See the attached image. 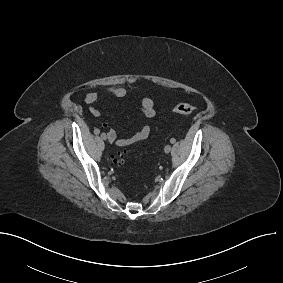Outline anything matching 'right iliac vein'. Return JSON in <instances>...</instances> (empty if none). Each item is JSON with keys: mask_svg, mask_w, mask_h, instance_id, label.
Listing matches in <instances>:
<instances>
[{"mask_svg": "<svg viewBox=\"0 0 283 283\" xmlns=\"http://www.w3.org/2000/svg\"><path fill=\"white\" fill-rule=\"evenodd\" d=\"M101 138H102L103 140H106V139H107L106 134H105V133H102V134H101Z\"/></svg>", "mask_w": 283, "mask_h": 283, "instance_id": "63e3f726", "label": "right iliac vein"}]
</instances>
